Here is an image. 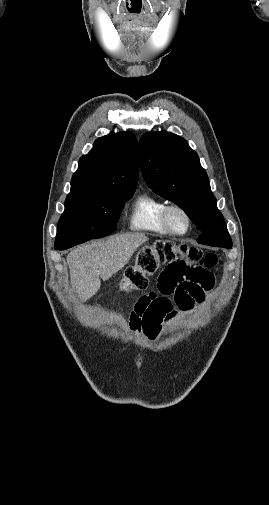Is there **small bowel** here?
<instances>
[{"instance_id":"small-bowel-1","label":"small bowel","mask_w":269,"mask_h":505,"mask_svg":"<svg viewBox=\"0 0 269 505\" xmlns=\"http://www.w3.org/2000/svg\"><path fill=\"white\" fill-rule=\"evenodd\" d=\"M192 260L170 259L157 275V286L141 297L130 315V327L143 331L154 339L163 322L174 319L176 305L185 313H191L195 303L204 300L205 291L215 288L213 271L205 266H194ZM178 300L176 302V300Z\"/></svg>"}]
</instances>
